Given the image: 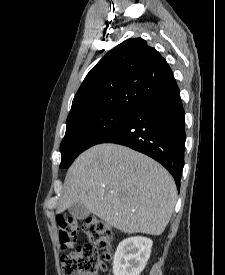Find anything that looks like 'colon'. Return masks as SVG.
<instances>
[{
  "instance_id": "colon-1",
  "label": "colon",
  "mask_w": 225,
  "mask_h": 275,
  "mask_svg": "<svg viewBox=\"0 0 225 275\" xmlns=\"http://www.w3.org/2000/svg\"><path fill=\"white\" fill-rule=\"evenodd\" d=\"M57 224L61 247H73L76 243L79 220L72 215H61L57 219ZM81 226L90 245L77 247L62 256L63 275H94L111 258L109 250L114 240L113 229L95 217L84 219ZM99 250L103 252L99 253Z\"/></svg>"
}]
</instances>
